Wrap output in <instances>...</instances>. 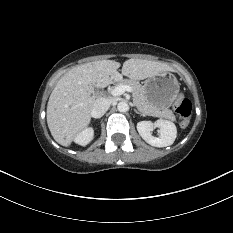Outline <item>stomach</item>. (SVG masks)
<instances>
[{
	"label": "stomach",
	"instance_id": "obj_1",
	"mask_svg": "<svg viewBox=\"0 0 233 233\" xmlns=\"http://www.w3.org/2000/svg\"><path fill=\"white\" fill-rule=\"evenodd\" d=\"M143 88L148 103L159 109L169 108L180 90L177 78L170 72H161L149 77Z\"/></svg>",
	"mask_w": 233,
	"mask_h": 233
}]
</instances>
